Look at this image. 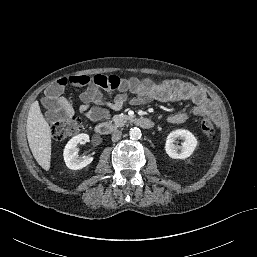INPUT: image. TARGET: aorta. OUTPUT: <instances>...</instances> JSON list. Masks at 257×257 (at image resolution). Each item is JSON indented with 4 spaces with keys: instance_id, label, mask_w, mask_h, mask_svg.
I'll list each match as a JSON object with an SVG mask.
<instances>
[{
    "instance_id": "aorta-1",
    "label": "aorta",
    "mask_w": 257,
    "mask_h": 257,
    "mask_svg": "<svg viewBox=\"0 0 257 257\" xmlns=\"http://www.w3.org/2000/svg\"><path fill=\"white\" fill-rule=\"evenodd\" d=\"M142 136L141 130L137 127L131 128L129 131V137L133 140L140 139Z\"/></svg>"
}]
</instances>
